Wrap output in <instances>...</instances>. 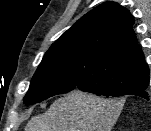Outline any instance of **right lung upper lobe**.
I'll return each instance as SVG.
<instances>
[{
    "instance_id": "cb5924a9",
    "label": "right lung upper lobe",
    "mask_w": 151,
    "mask_h": 131,
    "mask_svg": "<svg viewBox=\"0 0 151 131\" xmlns=\"http://www.w3.org/2000/svg\"><path fill=\"white\" fill-rule=\"evenodd\" d=\"M134 22L127 9L105 2L80 18L51 47L69 43L92 56L107 89L127 93L149 83V68L132 29Z\"/></svg>"
}]
</instances>
